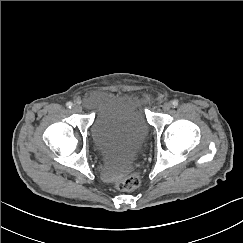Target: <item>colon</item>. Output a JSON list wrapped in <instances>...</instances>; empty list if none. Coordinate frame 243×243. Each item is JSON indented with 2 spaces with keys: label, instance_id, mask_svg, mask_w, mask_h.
<instances>
[{
  "label": "colon",
  "instance_id": "5ec220e1",
  "mask_svg": "<svg viewBox=\"0 0 243 243\" xmlns=\"http://www.w3.org/2000/svg\"><path fill=\"white\" fill-rule=\"evenodd\" d=\"M140 183V176L138 173L133 172L126 178L117 183V188L121 191H132L138 187Z\"/></svg>",
  "mask_w": 243,
  "mask_h": 243
}]
</instances>
